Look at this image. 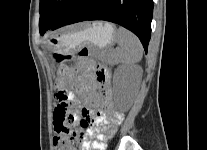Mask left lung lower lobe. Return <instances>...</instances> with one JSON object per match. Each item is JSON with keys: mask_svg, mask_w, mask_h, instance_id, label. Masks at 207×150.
<instances>
[{"mask_svg": "<svg viewBox=\"0 0 207 150\" xmlns=\"http://www.w3.org/2000/svg\"><path fill=\"white\" fill-rule=\"evenodd\" d=\"M152 14L153 0H76L51 29L85 20H105L136 34L147 52Z\"/></svg>", "mask_w": 207, "mask_h": 150, "instance_id": "0a47b994", "label": "left lung lower lobe"}]
</instances>
